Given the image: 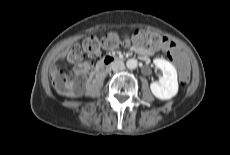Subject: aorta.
Listing matches in <instances>:
<instances>
[{
    "label": "aorta",
    "instance_id": "1",
    "mask_svg": "<svg viewBox=\"0 0 230 155\" xmlns=\"http://www.w3.org/2000/svg\"><path fill=\"white\" fill-rule=\"evenodd\" d=\"M126 66L128 69H135L138 66V62L136 59H129L126 62Z\"/></svg>",
    "mask_w": 230,
    "mask_h": 155
}]
</instances>
